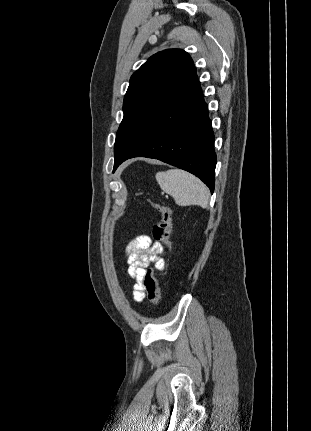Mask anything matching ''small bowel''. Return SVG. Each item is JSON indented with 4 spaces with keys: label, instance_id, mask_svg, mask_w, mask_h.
Listing matches in <instances>:
<instances>
[{
    "label": "small bowel",
    "instance_id": "c3829d8e",
    "mask_svg": "<svg viewBox=\"0 0 311 431\" xmlns=\"http://www.w3.org/2000/svg\"><path fill=\"white\" fill-rule=\"evenodd\" d=\"M163 247L159 242H153L150 236L140 235L133 238L127 245L125 255L128 262V273L136 280L133 284V298L140 302L145 296L143 276L146 268L153 262L161 271L167 270V265L159 255Z\"/></svg>",
    "mask_w": 311,
    "mask_h": 431
}]
</instances>
